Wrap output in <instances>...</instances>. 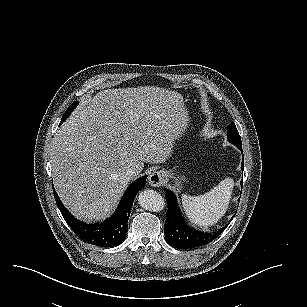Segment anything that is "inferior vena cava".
<instances>
[{
  "instance_id": "obj_1",
  "label": "inferior vena cava",
  "mask_w": 307,
  "mask_h": 307,
  "mask_svg": "<svg viewBox=\"0 0 307 307\" xmlns=\"http://www.w3.org/2000/svg\"><path fill=\"white\" fill-rule=\"evenodd\" d=\"M138 174H140L139 170L136 168H130L128 169V171L126 172V177H128L129 179L137 176Z\"/></svg>"
}]
</instances>
